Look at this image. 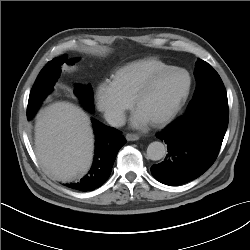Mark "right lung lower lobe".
<instances>
[{
  "mask_svg": "<svg viewBox=\"0 0 250 250\" xmlns=\"http://www.w3.org/2000/svg\"><path fill=\"white\" fill-rule=\"evenodd\" d=\"M96 135L95 156L91 170L80 181L65 186L78 191H92L106 182L119 149L126 143L121 133L92 119Z\"/></svg>",
  "mask_w": 250,
  "mask_h": 250,
  "instance_id": "98d812e1",
  "label": "right lung lower lobe"
}]
</instances>
